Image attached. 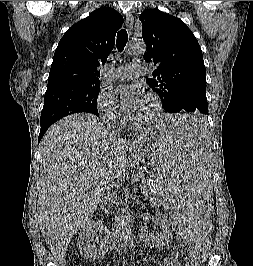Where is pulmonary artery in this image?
I'll use <instances>...</instances> for the list:
<instances>
[{
    "mask_svg": "<svg viewBox=\"0 0 253 266\" xmlns=\"http://www.w3.org/2000/svg\"><path fill=\"white\" fill-rule=\"evenodd\" d=\"M143 61H133L129 65L122 66L113 70V76L117 79L128 80L136 75H140L145 70Z\"/></svg>",
    "mask_w": 253,
    "mask_h": 266,
    "instance_id": "1",
    "label": "pulmonary artery"
}]
</instances>
